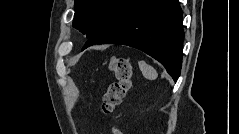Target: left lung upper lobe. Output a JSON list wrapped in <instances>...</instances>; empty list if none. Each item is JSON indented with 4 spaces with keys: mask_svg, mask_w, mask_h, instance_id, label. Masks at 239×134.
<instances>
[{
    "mask_svg": "<svg viewBox=\"0 0 239 134\" xmlns=\"http://www.w3.org/2000/svg\"><path fill=\"white\" fill-rule=\"evenodd\" d=\"M123 0H75L73 27L90 38L101 30Z\"/></svg>",
    "mask_w": 239,
    "mask_h": 134,
    "instance_id": "1",
    "label": "left lung upper lobe"
}]
</instances>
